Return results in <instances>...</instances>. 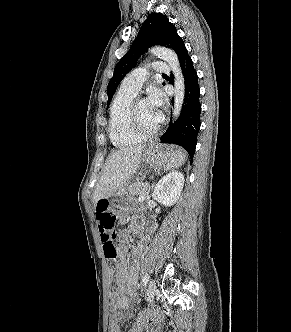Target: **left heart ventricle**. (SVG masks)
<instances>
[{"label":"left heart ventricle","mask_w":291,"mask_h":332,"mask_svg":"<svg viewBox=\"0 0 291 332\" xmlns=\"http://www.w3.org/2000/svg\"><path fill=\"white\" fill-rule=\"evenodd\" d=\"M138 116L141 126L146 130L154 129L160 123L154 110L150 107L147 100L139 101Z\"/></svg>","instance_id":"obj_1"}]
</instances>
